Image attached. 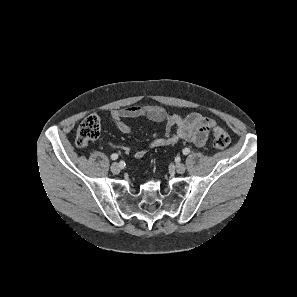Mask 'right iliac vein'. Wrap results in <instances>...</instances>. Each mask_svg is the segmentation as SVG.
<instances>
[{
	"instance_id": "63e3f726",
	"label": "right iliac vein",
	"mask_w": 297,
	"mask_h": 297,
	"mask_svg": "<svg viewBox=\"0 0 297 297\" xmlns=\"http://www.w3.org/2000/svg\"><path fill=\"white\" fill-rule=\"evenodd\" d=\"M121 171V167L118 163H113L111 165V172L114 173V174H118L119 172Z\"/></svg>"
}]
</instances>
